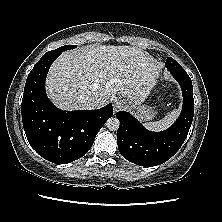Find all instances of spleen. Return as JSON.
<instances>
[{"label": "spleen", "mask_w": 222, "mask_h": 222, "mask_svg": "<svg viewBox=\"0 0 222 222\" xmlns=\"http://www.w3.org/2000/svg\"><path fill=\"white\" fill-rule=\"evenodd\" d=\"M180 113V108L173 110L171 113L167 114L163 119L159 121L145 123L144 126L152 131H162L167 129L176 120Z\"/></svg>", "instance_id": "obj_1"}]
</instances>
